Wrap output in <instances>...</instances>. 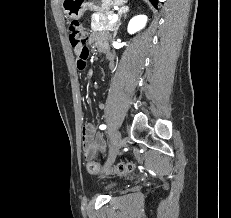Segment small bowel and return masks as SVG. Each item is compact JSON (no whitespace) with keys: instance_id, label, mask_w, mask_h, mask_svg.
I'll return each instance as SVG.
<instances>
[{"instance_id":"small-bowel-1","label":"small bowel","mask_w":231,"mask_h":218,"mask_svg":"<svg viewBox=\"0 0 231 218\" xmlns=\"http://www.w3.org/2000/svg\"><path fill=\"white\" fill-rule=\"evenodd\" d=\"M90 43H95L97 48L101 51H104L109 59H112V54L107 50L105 38L100 34H92L90 39ZM75 54L78 56L81 49L80 47L74 48ZM77 68L79 70H84L86 65H88L87 56H82V58H76ZM99 109H105V104L100 103ZM92 127L90 125H86L83 128L82 133V149L83 156L86 159H90L98 154V152L104 149L103 141L101 136L95 135L92 136Z\"/></svg>"}]
</instances>
